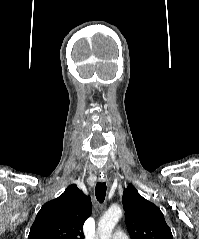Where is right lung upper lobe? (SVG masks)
I'll list each match as a JSON object with an SVG mask.
<instances>
[{
  "mask_svg": "<svg viewBox=\"0 0 199 239\" xmlns=\"http://www.w3.org/2000/svg\"><path fill=\"white\" fill-rule=\"evenodd\" d=\"M91 210L90 197L72 184L42 206L28 239H83V224Z\"/></svg>",
  "mask_w": 199,
  "mask_h": 239,
  "instance_id": "right-lung-upper-lobe-1",
  "label": "right lung upper lobe"
}]
</instances>
